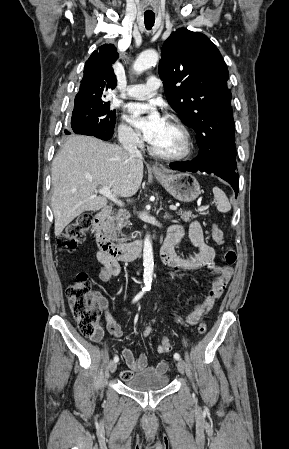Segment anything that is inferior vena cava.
Listing matches in <instances>:
<instances>
[{"label": "inferior vena cava", "mask_w": 289, "mask_h": 449, "mask_svg": "<svg viewBox=\"0 0 289 449\" xmlns=\"http://www.w3.org/2000/svg\"><path fill=\"white\" fill-rule=\"evenodd\" d=\"M124 150L132 158L142 159L141 152L137 148L136 140L133 137H128L122 140Z\"/></svg>", "instance_id": "inferior-vena-cava-1"}]
</instances>
